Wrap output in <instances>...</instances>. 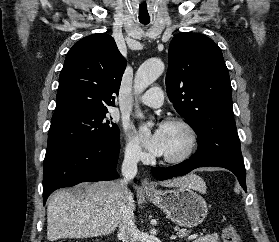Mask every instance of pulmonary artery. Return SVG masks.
<instances>
[{"instance_id":"1","label":"pulmonary artery","mask_w":279,"mask_h":242,"mask_svg":"<svg viewBox=\"0 0 279 242\" xmlns=\"http://www.w3.org/2000/svg\"><path fill=\"white\" fill-rule=\"evenodd\" d=\"M140 101L145 106L160 107L163 104V92L159 87L151 88L140 98Z\"/></svg>"}]
</instances>
